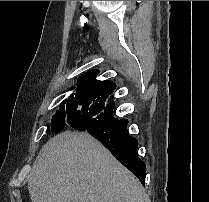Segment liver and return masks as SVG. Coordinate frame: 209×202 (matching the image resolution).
<instances>
[{"label": "liver", "instance_id": "obj_1", "mask_svg": "<svg viewBox=\"0 0 209 202\" xmlns=\"http://www.w3.org/2000/svg\"><path fill=\"white\" fill-rule=\"evenodd\" d=\"M28 190L32 202H145L138 179L93 137L75 131L42 147Z\"/></svg>", "mask_w": 209, "mask_h": 202}]
</instances>
